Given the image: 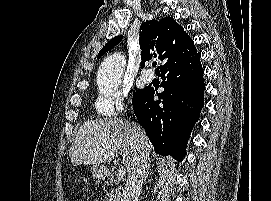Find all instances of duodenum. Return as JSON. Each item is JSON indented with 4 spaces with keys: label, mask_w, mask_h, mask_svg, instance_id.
<instances>
[{
    "label": "duodenum",
    "mask_w": 271,
    "mask_h": 201,
    "mask_svg": "<svg viewBox=\"0 0 271 201\" xmlns=\"http://www.w3.org/2000/svg\"><path fill=\"white\" fill-rule=\"evenodd\" d=\"M102 179L106 184H110V185L114 184L115 182L114 175L110 171H105L103 173Z\"/></svg>",
    "instance_id": "obj_1"
}]
</instances>
